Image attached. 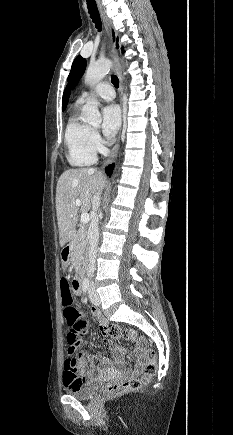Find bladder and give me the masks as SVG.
<instances>
[{
  "mask_svg": "<svg viewBox=\"0 0 233 435\" xmlns=\"http://www.w3.org/2000/svg\"><path fill=\"white\" fill-rule=\"evenodd\" d=\"M100 389L98 382H89L83 386H79L73 390L68 391V394L78 399L84 400L91 398Z\"/></svg>",
  "mask_w": 233,
  "mask_h": 435,
  "instance_id": "1",
  "label": "bladder"
}]
</instances>
